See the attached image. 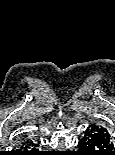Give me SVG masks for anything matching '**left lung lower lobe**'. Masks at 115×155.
Masks as SVG:
<instances>
[{
	"label": "left lung lower lobe",
	"instance_id": "0a47b994",
	"mask_svg": "<svg viewBox=\"0 0 115 155\" xmlns=\"http://www.w3.org/2000/svg\"><path fill=\"white\" fill-rule=\"evenodd\" d=\"M78 155H115V142L103 125L92 124L78 143Z\"/></svg>",
	"mask_w": 115,
	"mask_h": 155
}]
</instances>
